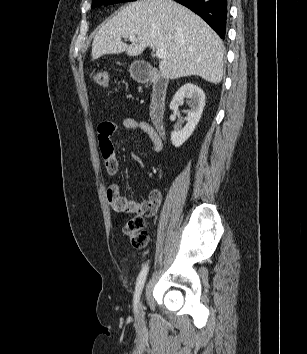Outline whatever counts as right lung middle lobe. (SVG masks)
I'll return each instance as SVG.
<instances>
[{
    "mask_svg": "<svg viewBox=\"0 0 307 354\" xmlns=\"http://www.w3.org/2000/svg\"><path fill=\"white\" fill-rule=\"evenodd\" d=\"M128 1H135V0H92V8H96L104 4H114V3L128 2Z\"/></svg>",
    "mask_w": 307,
    "mask_h": 354,
    "instance_id": "right-lung-middle-lobe-1",
    "label": "right lung middle lobe"
}]
</instances>
